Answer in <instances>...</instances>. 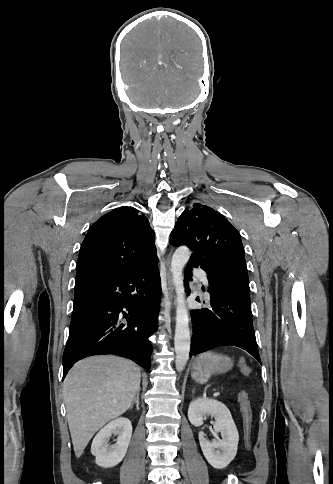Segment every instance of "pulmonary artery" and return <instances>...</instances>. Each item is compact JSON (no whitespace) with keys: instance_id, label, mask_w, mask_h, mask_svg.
Listing matches in <instances>:
<instances>
[{"instance_id":"e3ab8cb5","label":"pulmonary artery","mask_w":333,"mask_h":484,"mask_svg":"<svg viewBox=\"0 0 333 484\" xmlns=\"http://www.w3.org/2000/svg\"><path fill=\"white\" fill-rule=\"evenodd\" d=\"M197 275H198L199 279L201 280V282L204 284V286H205L206 288H208L209 282H208V279H207V277L205 276V274L200 273V272H197Z\"/></svg>"}]
</instances>
